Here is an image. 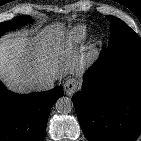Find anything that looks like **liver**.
<instances>
[{
    "label": "liver",
    "instance_id": "obj_1",
    "mask_svg": "<svg viewBox=\"0 0 141 141\" xmlns=\"http://www.w3.org/2000/svg\"><path fill=\"white\" fill-rule=\"evenodd\" d=\"M62 36L56 25L46 26L36 36L17 33L0 40V79L12 91H34L35 81L51 76L60 79L66 72L82 74L84 54L63 65L55 57ZM92 60L96 52L91 53Z\"/></svg>",
    "mask_w": 141,
    "mask_h": 141
}]
</instances>
